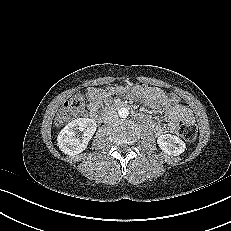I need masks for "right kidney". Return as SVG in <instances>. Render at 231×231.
Masks as SVG:
<instances>
[{
    "mask_svg": "<svg viewBox=\"0 0 231 231\" xmlns=\"http://www.w3.org/2000/svg\"><path fill=\"white\" fill-rule=\"evenodd\" d=\"M96 131V122L89 118H78L68 123L57 137V145L67 155H76L86 149ZM83 132L82 137L77 136Z\"/></svg>",
    "mask_w": 231,
    "mask_h": 231,
    "instance_id": "ca27d5eb",
    "label": "right kidney"
}]
</instances>
